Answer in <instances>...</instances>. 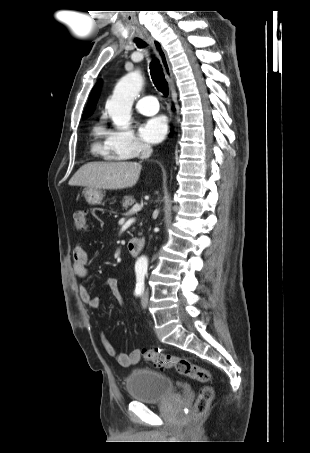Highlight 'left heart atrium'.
<instances>
[{
    "instance_id": "39dd6f15",
    "label": "left heart atrium",
    "mask_w": 310,
    "mask_h": 453,
    "mask_svg": "<svg viewBox=\"0 0 310 453\" xmlns=\"http://www.w3.org/2000/svg\"><path fill=\"white\" fill-rule=\"evenodd\" d=\"M167 120L164 116H157L146 120L139 129L140 136L149 143L161 141L167 133Z\"/></svg>"
}]
</instances>
